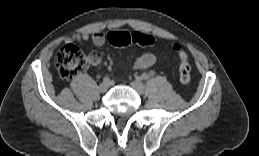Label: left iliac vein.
<instances>
[{
    "instance_id": "obj_1",
    "label": "left iliac vein",
    "mask_w": 259,
    "mask_h": 156,
    "mask_svg": "<svg viewBox=\"0 0 259 156\" xmlns=\"http://www.w3.org/2000/svg\"><path fill=\"white\" fill-rule=\"evenodd\" d=\"M131 86L140 95L145 93V87L140 80H135V81L131 82Z\"/></svg>"
}]
</instances>
